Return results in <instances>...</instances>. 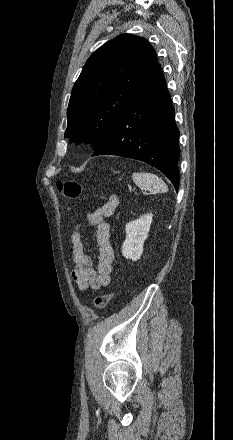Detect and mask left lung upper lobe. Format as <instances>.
<instances>
[{"instance_id": "5c2ea615", "label": "left lung upper lobe", "mask_w": 233, "mask_h": 440, "mask_svg": "<svg viewBox=\"0 0 233 440\" xmlns=\"http://www.w3.org/2000/svg\"><path fill=\"white\" fill-rule=\"evenodd\" d=\"M157 64L155 50L142 37L123 34L102 45L74 84L65 137L90 142L96 150Z\"/></svg>"}]
</instances>
